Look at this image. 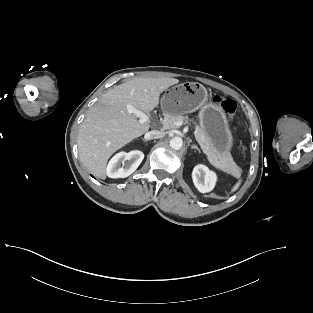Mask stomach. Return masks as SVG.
Wrapping results in <instances>:
<instances>
[{
  "mask_svg": "<svg viewBox=\"0 0 313 313\" xmlns=\"http://www.w3.org/2000/svg\"><path fill=\"white\" fill-rule=\"evenodd\" d=\"M165 114L184 115L199 110V120L205 135L215 148L218 158L231 151L233 137L222 108L208 102L205 87L197 82H184L168 89L161 100Z\"/></svg>",
  "mask_w": 313,
  "mask_h": 313,
  "instance_id": "obj_1",
  "label": "stomach"
}]
</instances>
